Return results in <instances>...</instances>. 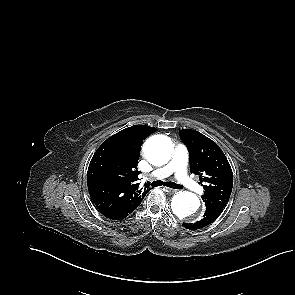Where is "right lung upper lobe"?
Instances as JSON below:
<instances>
[{
    "instance_id": "obj_1",
    "label": "right lung upper lobe",
    "mask_w": 295,
    "mask_h": 295,
    "mask_svg": "<svg viewBox=\"0 0 295 295\" xmlns=\"http://www.w3.org/2000/svg\"><path fill=\"white\" fill-rule=\"evenodd\" d=\"M157 129L134 125L109 137L93 155L87 172L89 194L99 209L118 211L139 204L150 188L136 183L143 141Z\"/></svg>"
}]
</instances>
